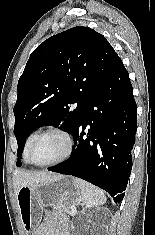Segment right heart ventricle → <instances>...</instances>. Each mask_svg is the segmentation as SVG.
Wrapping results in <instances>:
<instances>
[{"label": "right heart ventricle", "mask_w": 155, "mask_h": 235, "mask_svg": "<svg viewBox=\"0 0 155 235\" xmlns=\"http://www.w3.org/2000/svg\"><path fill=\"white\" fill-rule=\"evenodd\" d=\"M37 133H38L37 131L30 133V134L27 136V138H26V140H25V143H24V147H23V159H24V161H25L26 163H28V164H29V162H28V160H27V150H28V147H29V145L31 144L32 140H33L34 137L37 135Z\"/></svg>", "instance_id": "right-heart-ventricle-1"}]
</instances>
